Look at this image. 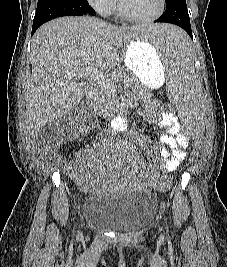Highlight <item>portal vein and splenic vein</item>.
<instances>
[{
    "label": "portal vein and splenic vein",
    "instance_id": "obj_1",
    "mask_svg": "<svg viewBox=\"0 0 227 267\" xmlns=\"http://www.w3.org/2000/svg\"><path fill=\"white\" fill-rule=\"evenodd\" d=\"M69 75L75 77H86L94 80L99 85H108L110 78L103 72L98 71L95 68L87 67L74 71H69Z\"/></svg>",
    "mask_w": 227,
    "mask_h": 267
}]
</instances>
